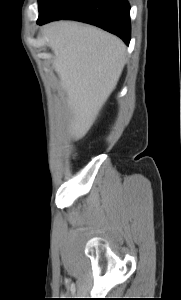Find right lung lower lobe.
<instances>
[{
    "instance_id": "right-lung-lower-lobe-1",
    "label": "right lung lower lobe",
    "mask_w": 181,
    "mask_h": 300,
    "mask_svg": "<svg viewBox=\"0 0 181 300\" xmlns=\"http://www.w3.org/2000/svg\"><path fill=\"white\" fill-rule=\"evenodd\" d=\"M130 6L127 0H60L37 20L43 25L59 19H71L98 26L130 42Z\"/></svg>"
}]
</instances>
